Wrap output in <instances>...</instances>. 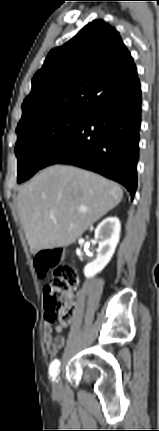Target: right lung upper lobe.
<instances>
[{
    "instance_id": "cb5924a9",
    "label": "right lung upper lobe",
    "mask_w": 159,
    "mask_h": 431,
    "mask_svg": "<svg viewBox=\"0 0 159 431\" xmlns=\"http://www.w3.org/2000/svg\"><path fill=\"white\" fill-rule=\"evenodd\" d=\"M137 80L136 66L119 33L95 20L49 52L32 79L17 130L60 112L90 113Z\"/></svg>"
}]
</instances>
